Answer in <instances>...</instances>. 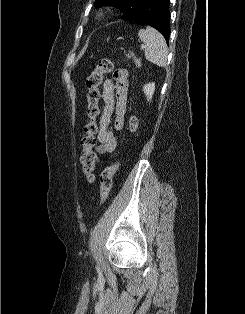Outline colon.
<instances>
[{"mask_svg":"<svg viewBox=\"0 0 245 314\" xmlns=\"http://www.w3.org/2000/svg\"><path fill=\"white\" fill-rule=\"evenodd\" d=\"M139 64V60L136 61ZM113 69V60L111 58L101 59L95 69L88 76L87 85V115L89 118L85 126V136L82 139L83 153L81 155L82 171L88 182L94 180V170L97 156L94 151L95 134L97 132V117L99 115L98 100L99 87L102 83L103 76L108 74ZM138 127V119L135 115L129 118L128 130L134 133ZM118 170V163L114 162L109 167L105 168L100 176V204H103L110 193L112 187V178Z\"/></svg>","mask_w":245,"mask_h":314,"instance_id":"obj_1","label":"colon"}]
</instances>
